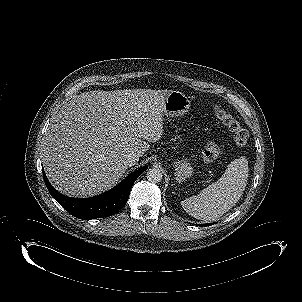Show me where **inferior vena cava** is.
Masks as SVG:
<instances>
[{
  "label": "inferior vena cava",
  "mask_w": 302,
  "mask_h": 302,
  "mask_svg": "<svg viewBox=\"0 0 302 302\" xmlns=\"http://www.w3.org/2000/svg\"><path fill=\"white\" fill-rule=\"evenodd\" d=\"M140 155L136 152H130L125 157V163L128 166H133L139 161Z\"/></svg>",
  "instance_id": "inferior-vena-cava-1"
}]
</instances>
